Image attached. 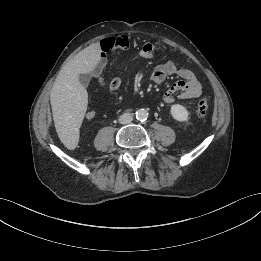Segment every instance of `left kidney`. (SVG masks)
Wrapping results in <instances>:
<instances>
[{"instance_id": "left-kidney-1", "label": "left kidney", "mask_w": 261, "mask_h": 261, "mask_svg": "<svg viewBox=\"0 0 261 261\" xmlns=\"http://www.w3.org/2000/svg\"><path fill=\"white\" fill-rule=\"evenodd\" d=\"M172 117L179 122H187L189 120V111L180 104H174L171 106Z\"/></svg>"}]
</instances>
